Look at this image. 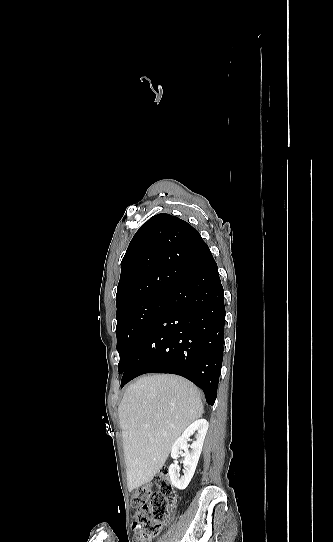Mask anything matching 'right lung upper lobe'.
Listing matches in <instances>:
<instances>
[{
	"label": "right lung upper lobe",
	"mask_w": 333,
	"mask_h": 542,
	"mask_svg": "<svg viewBox=\"0 0 333 542\" xmlns=\"http://www.w3.org/2000/svg\"><path fill=\"white\" fill-rule=\"evenodd\" d=\"M206 246L198 231L187 222L164 213L150 218L136 232L121 261L117 313L151 295L169 292L184 277L181 269L159 258L161 250L194 252Z\"/></svg>",
	"instance_id": "cb5924a9"
}]
</instances>
